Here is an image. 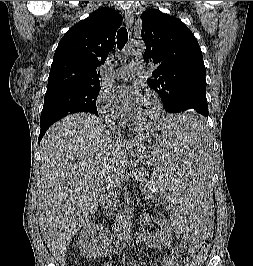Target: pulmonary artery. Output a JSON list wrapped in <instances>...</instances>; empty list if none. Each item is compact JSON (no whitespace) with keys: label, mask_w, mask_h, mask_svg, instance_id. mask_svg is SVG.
Instances as JSON below:
<instances>
[{"label":"pulmonary artery","mask_w":253,"mask_h":266,"mask_svg":"<svg viewBox=\"0 0 253 266\" xmlns=\"http://www.w3.org/2000/svg\"><path fill=\"white\" fill-rule=\"evenodd\" d=\"M144 65L142 61H132L126 66L120 67L115 70L114 75L119 79H132L138 75H141L144 71Z\"/></svg>","instance_id":"obj_1"}]
</instances>
